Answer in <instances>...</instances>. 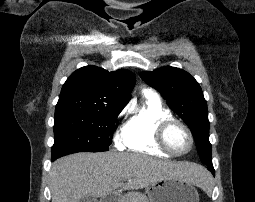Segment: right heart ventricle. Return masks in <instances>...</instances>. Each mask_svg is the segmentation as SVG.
<instances>
[{
    "label": "right heart ventricle",
    "instance_id": "right-heart-ventricle-1",
    "mask_svg": "<svg viewBox=\"0 0 255 202\" xmlns=\"http://www.w3.org/2000/svg\"><path fill=\"white\" fill-rule=\"evenodd\" d=\"M173 118L172 113L155 95L144 94L142 105L135 109L121 129L123 145L130 151L169 157L156 142L159 124Z\"/></svg>",
    "mask_w": 255,
    "mask_h": 202
}]
</instances>
